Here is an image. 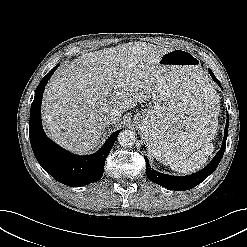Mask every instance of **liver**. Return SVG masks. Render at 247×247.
Returning <instances> with one entry per match:
<instances>
[{"label":"liver","instance_id":"obj_1","mask_svg":"<svg viewBox=\"0 0 247 247\" xmlns=\"http://www.w3.org/2000/svg\"><path fill=\"white\" fill-rule=\"evenodd\" d=\"M171 49L145 42L83 54L60 66L43 96L48 135L63 148L87 154L106 134L110 113L148 101L163 82L160 58Z\"/></svg>","mask_w":247,"mask_h":247}]
</instances>
